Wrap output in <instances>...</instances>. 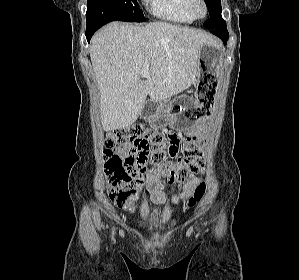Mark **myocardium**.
Listing matches in <instances>:
<instances>
[{"label": "myocardium", "mask_w": 299, "mask_h": 280, "mask_svg": "<svg viewBox=\"0 0 299 280\" xmlns=\"http://www.w3.org/2000/svg\"><path fill=\"white\" fill-rule=\"evenodd\" d=\"M191 11L196 19H204L208 14V7L204 0H191Z\"/></svg>", "instance_id": "myocardium-1"}]
</instances>
